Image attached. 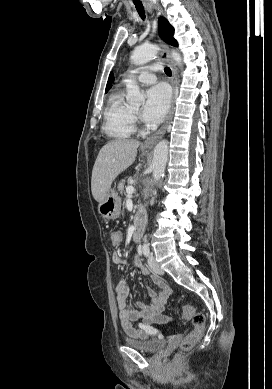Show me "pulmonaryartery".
Masks as SVG:
<instances>
[{
    "mask_svg": "<svg viewBox=\"0 0 272 389\" xmlns=\"http://www.w3.org/2000/svg\"><path fill=\"white\" fill-rule=\"evenodd\" d=\"M161 68L158 65H147L143 66L134 71V74L125 76L123 78V83L128 84L132 81H137L142 84H153L156 82L157 78L155 72L160 71Z\"/></svg>",
    "mask_w": 272,
    "mask_h": 389,
    "instance_id": "pulmonary-artery-1",
    "label": "pulmonary artery"
}]
</instances>
